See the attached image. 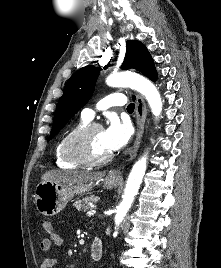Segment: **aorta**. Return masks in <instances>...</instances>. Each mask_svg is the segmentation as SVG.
<instances>
[{"label": "aorta", "instance_id": "762f6f07", "mask_svg": "<svg viewBox=\"0 0 221 268\" xmlns=\"http://www.w3.org/2000/svg\"><path fill=\"white\" fill-rule=\"evenodd\" d=\"M106 83L111 87H130L137 90L145 96L153 115L159 117L162 111L161 96L157 88L148 79L135 73L121 72L109 75ZM146 164L147 157L144 155L132 167L124 190L123 199L117 207L115 216L116 227H119L124 220L133 203L134 197L138 193L146 171Z\"/></svg>", "mask_w": 221, "mask_h": 268}]
</instances>
